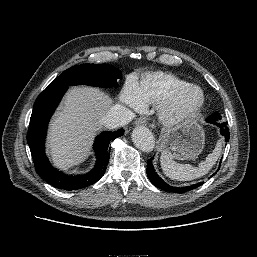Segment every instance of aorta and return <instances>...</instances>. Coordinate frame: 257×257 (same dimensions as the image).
<instances>
[{
    "instance_id": "1",
    "label": "aorta",
    "mask_w": 257,
    "mask_h": 257,
    "mask_svg": "<svg viewBox=\"0 0 257 257\" xmlns=\"http://www.w3.org/2000/svg\"><path fill=\"white\" fill-rule=\"evenodd\" d=\"M132 141L143 152H151L155 146L154 135L145 126H138L133 130Z\"/></svg>"
}]
</instances>
